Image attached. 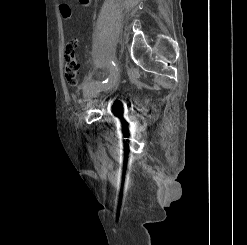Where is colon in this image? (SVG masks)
Here are the masks:
<instances>
[{"instance_id": "1", "label": "colon", "mask_w": 247, "mask_h": 245, "mask_svg": "<svg viewBox=\"0 0 247 245\" xmlns=\"http://www.w3.org/2000/svg\"><path fill=\"white\" fill-rule=\"evenodd\" d=\"M77 42L71 39L67 42L65 48V77L67 82L72 86H77L81 83V69L75 55Z\"/></svg>"}]
</instances>
